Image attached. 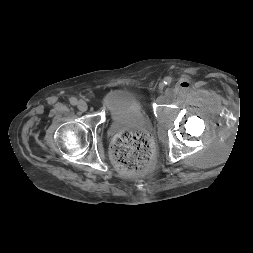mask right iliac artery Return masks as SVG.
<instances>
[{"label": "right iliac artery", "mask_w": 253, "mask_h": 253, "mask_svg": "<svg viewBox=\"0 0 253 253\" xmlns=\"http://www.w3.org/2000/svg\"><path fill=\"white\" fill-rule=\"evenodd\" d=\"M70 103H71L72 105H77L78 101H77L76 98L72 97V98H70Z\"/></svg>", "instance_id": "obj_1"}]
</instances>
